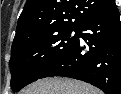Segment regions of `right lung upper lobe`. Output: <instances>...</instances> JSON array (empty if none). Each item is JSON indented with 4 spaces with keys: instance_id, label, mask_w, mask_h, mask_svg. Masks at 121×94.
I'll return each mask as SVG.
<instances>
[{
    "instance_id": "right-lung-upper-lobe-1",
    "label": "right lung upper lobe",
    "mask_w": 121,
    "mask_h": 94,
    "mask_svg": "<svg viewBox=\"0 0 121 94\" xmlns=\"http://www.w3.org/2000/svg\"><path fill=\"white\" fill-rule=\"evenodd\" d=\"M114 3V0H27L12 45L32 32L78 29L85 20L108 10Z\"/></svg>"
}]
</instances>
